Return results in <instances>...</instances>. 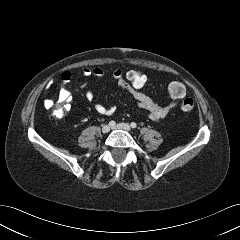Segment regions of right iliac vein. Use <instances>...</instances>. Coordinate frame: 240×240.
<instances>
[{
	"label": "right iliac vein",
	"instance_id": "63e3f726",
	"mask_svg": "<svg viewBox=\"0 0 240 240\" xmlns=\"http://www.w3.org/2000/svg\"><path fill=\"white\" fill-rule=\"evenodd\" d=\"M110 131V126L109 125H104L103 127H102V132L103 133H108Z\"/></svg>",
	"mask_w": 240,
	"mask_h": 240
}]
</instances>
